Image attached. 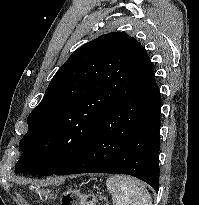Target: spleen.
Instances as JSON below:
<instances>
[{
    "mask_svg": "<svg viewBox=\"0 0 199 205\" xmlns=\"http://www.w3.org/2000/svg\"><path fill=\"white\" fill-rule=\"evenodd\" d=\"M114 205H152L146 186L128 176H112L106 181Z\"/></svg>",
    "mask_w": 199,
    "mask_h": 205,
    "instance_id": "1",
    "label": "spleen"
}]
</instances>
